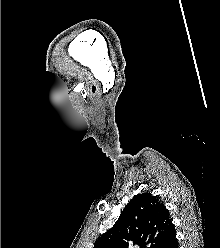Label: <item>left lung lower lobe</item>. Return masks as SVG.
I'll list each match as a JSON object with an SVG mask.
<instances>
[{"label": "left lung lower lobe", "mask_w": 220, "mask_h": 248, "mask_svg": "<svg viewBox=\"0 0 220 248\" xmlns=\"http://www.w3.org/2000/svg\"><path fill=\"white\" fill-rule=\"evenodd\" d=\"M158 248H178L174 226L170 228L168 234Z\"/></svg>", "instance_id": "obj_1"}]
</instances>
